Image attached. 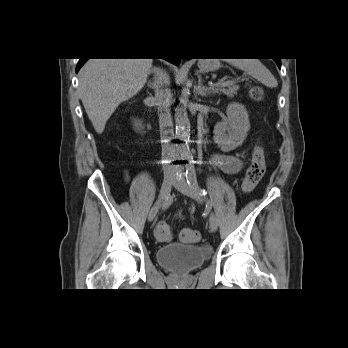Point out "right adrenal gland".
<instances>
[{"label":"right adrenal gland","instance_id":"obj_1","mask_svg":"<svg viewBox=\"0 0 348 348\" xmlns=\"http://www.w3.org/2000/svg\"><path fill=\"white\" fill-rule=\"evenodd\" d=\"M147 86L151 89H154V82L149 80L148 83H147Z\"/></svg>","mask_w":348,"mask_h":348}]
</instances>
